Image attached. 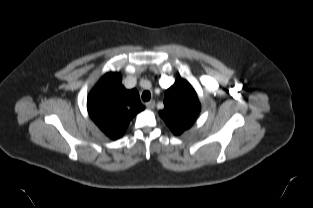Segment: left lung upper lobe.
<instances>
[{"label":"left lung upper lobe","mask_w":313,"mask_h":208,"mask_svg":"<svg viewBox=\"0 0 313 208\" xmlns=\"http://www.w3.org/2000/svg\"><path fill=\"white\" fill-rule=\"evenodd\" d=\"M165 108L159 112L175 135L182 134L195 122L200 103L193 87L185 79L178 78L165 92Z\"/></svg>","instance_id":"left-lung-upper-lobe-1"}]
</instances>
